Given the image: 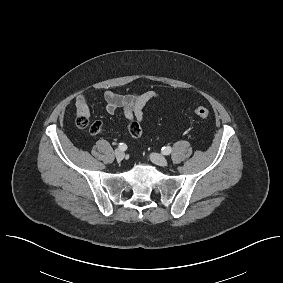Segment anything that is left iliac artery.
Masks as SVG:
<instances>
[{"label": "left iliac artery", "mask_w": 283, "mask_h": 283, "mask_svg": "<svg viewBox=\"0 0 283 283\" xmlns=\"http://www.w3.org/2000/svg\"><path fill=\"white\" fill-rule=\"evenodd\" d=\"M161 151L164 155H169L171 153L172 149H171L170 146H167V147H163Z\"/></svg>", "instance_id": "1"}]
</instances>
